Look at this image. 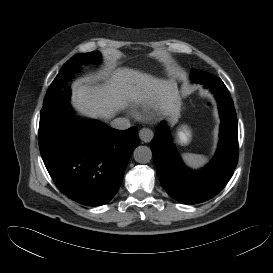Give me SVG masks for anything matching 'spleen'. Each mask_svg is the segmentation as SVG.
<instances>
[{
	"label": "spleen",
	"instance_id": "obj_1",
	"mask_svg": "<svg viewBox=\"0 0 273 273\" xmlns=\"http://www.w3.org/2000/svg\"><path fill=\"white\" fill-rule=\"evenodd\" d=\"M183 158L185 162L193 168L200 167L207 162V157L199 154L186 153L183 155Z\"/></svg>",
	"mask_w": 273,
	"mask_h": 273
}]
</instances>
